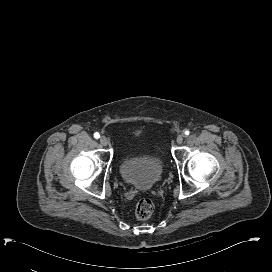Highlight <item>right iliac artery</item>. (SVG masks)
<instances>
[{"mask_svg": "<svg viewBox=\"0 0 272 272\" xmlns=\"http://www.w3.org/2000/svg\"><path fill=\"white\" fill-rule=\"evenodd\" d=\"M94 138L96 139L100 138V134L98 132L94 133Z\"/></svg>", "mask_w": 272, "mask_h": 272, "instance_id": "right-iliac-artery-1", "label": "right iliac artery"}]
</instances>
